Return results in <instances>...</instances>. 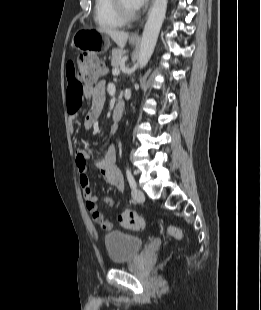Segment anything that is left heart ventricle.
I'll return each mask as SVG.
<instances>
[{
    "label": "left heart ventricle",
    "mask_w": 261,
    "mask_h": 310,
    "mask_svg": "<svg viewBox=\"0 0 261 310\" xmlns=\"http://www.w3.org/2000/svg\"><path fill=\"white\" fill-rule=\"evenodd\" d=\"M124 7L130 11V12H134L136 11L135 8L132 6L131 1L130 0H122Z\"/></svg>",
    "instance_id": "1"
}]
</instances>
